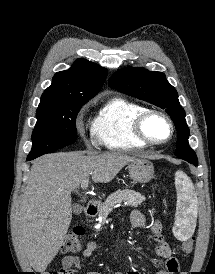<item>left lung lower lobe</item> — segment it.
I'll return each mask as SVG.
<instances>
[{
	"mask_svg": "<svg viewBox=\"0 0 215 274\" xmlns=\"http://www.w3.org/2000/svg\"><path fill=\"white\" fill-rule=\"evenodd\" d=\"M187 162L193 164L194 166H197V165H198V162H193V161H187Z\"/></svg>",
	"mask_w": 215,
	"mask_h": 274,
	"instance_id": "1",
	"label": "left lung lower lobe"
}]
</instances>
